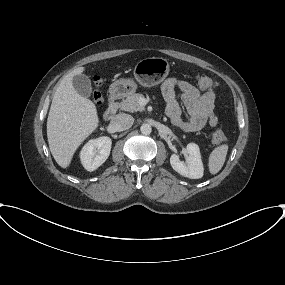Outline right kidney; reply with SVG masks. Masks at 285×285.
<instances>
[{"instance_id":"ca27d5eb","label":"right kidney","mask_w":285,"mask_h":285,"mask_svg":"<svg viewBox=\"0 0 285 285\" xmlns=\"http://www.w3.org/2000/svg\"><path fill=\"white\" fill-rule=\"evenodd\" d=\"M112 141L103 136L89 140L80 152V159L87 171H94L100 167L109 157Z\"/></svg>"}]
</instances>
